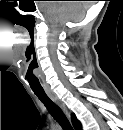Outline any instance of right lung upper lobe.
<instances>
[{"label": "right lung upper lobe", "mask_w": 123, "mask_h": 130, "mask_svg": "<svg viewBox=\"0 0 123 130\" xmlns=\"http://www.w3.org/2000/svg\"><path fill=\"white\" fill-rule=\"evenodd\" d=\"M71 117H72V121L75 126V129L81 130V123L79 122V120H77L75 114H72Z\"/></svg>", "instance_id": "cb5924a9"}]
</instances>
